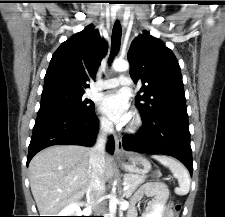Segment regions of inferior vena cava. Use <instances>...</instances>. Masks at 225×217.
Here are the masks:
<instances>
[{
  "label": "inferior vena cava",
  "instance_id": "1",
  "mask_svg": "<svg viewBox=\"0 0 225 217\" xmlns=\"http://www.w3.org/2000/svg\"><path fill=\"white\" fill-rule=\"evenodd\" d=\"M113 131V124L108 120L103 121L96 143L90 150V181L86 190V195L89 202L95 207L97 213L101 212L102 196L105 190L103 175L107 135L113 133Z\"/></svg>",
  "mask_w": 225,
  "mask_h": 217
}]
</instances>
